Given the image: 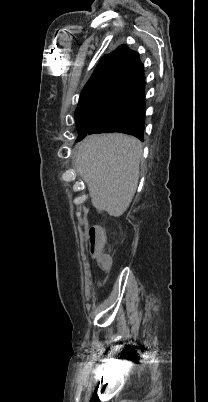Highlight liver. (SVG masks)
Instances as JSON below:
<instances>
[{
	"mask_svg": "<svg viewBox=\"0 0 208 402\" xmlns=\"http://www.w3.org/2000/svg\"><path fill=\"white\" fill-rule=\"evenodd\" d=\"M75 168L97 212L119 218L137 190L142 144L124 134L88 136L75 148Z\"/></svg>",
	"mask_w": 208,
	"mask_h": 402,
	"instance_id": "6515ba94",
	"label": "liver"
}]
</instances>
